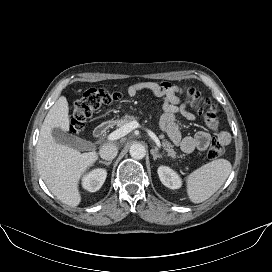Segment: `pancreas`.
Segmentation results:
<instances>
[{
	"label": "pancreas",
	"mask_w": 272,
	"mask_h": 272,
	"mask_svg": "<svg viewBox=\"0 0 272 272\" xmlns=\"http://www.w3.org/2000/svg\"><path fill=\"white\" fill-rule=\"evenodd\" d=\"M135 119L136 118L134 116L125 115L122 119L117 121V126L122 127L123 125H125V124H127V123H129V122H131V121H133ZM164 137L165 136L163 134H161L159 136L160 139H163L162 140V145H163L164 149L166 150L167 155L169 157H171L172 159H175V158L179 157L177 155V153L175 152V150L173 149V145L169 141L165 140ZM180 157L183 158V155H180Z\"/></svg>",
	"instance_id": "1"
}]
</instances>
